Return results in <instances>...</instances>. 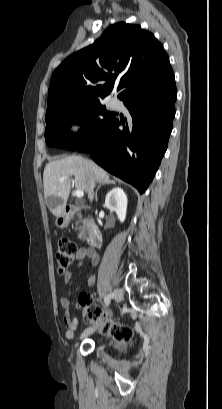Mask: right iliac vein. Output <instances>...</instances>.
<instances>
[{
	"label": "right iliac vein",
	"mask_w": 222,
	"mask_h": 409,
	"mask_svg": "<svg viewBox=\"0 0 222 409\" xmlns=\"http://www.w3.org/2000/svg\"><path fill=\"white\" fill-rule=\"evenodd\" d=\"M113 297H114V300H115L116 302L121 301V299H122V297H123L122 291H121L120 289H116V290L113 292ZM98 327H99V325H96V326H92V327L87 328V329L84 331V335H87V334H89V333L94 332Z\"/></svg>",
	"instance_id": "obj_1"
}]
</instances>
